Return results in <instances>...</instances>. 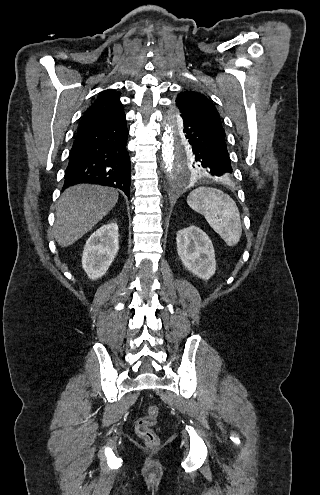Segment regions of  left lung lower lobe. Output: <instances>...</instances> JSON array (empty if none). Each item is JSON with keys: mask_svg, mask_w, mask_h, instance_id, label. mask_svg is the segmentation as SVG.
<instances>
[{"mask_svg": "<svg viewBox=\"0 0 320 495\" xmlns=\"http://www.w3.org/2000/svg\"><path fill=\"white\" fill-rule=\"evenodd\" d=\"M180 129L188 144L199 151L202 167L211 178L232 174L225 138L189 114H179Z\"/></svg>", "mask_w": 320, "mask_h": 495, "instance_id": "1", "label": "left lung lower lobe"}]
</instances>
